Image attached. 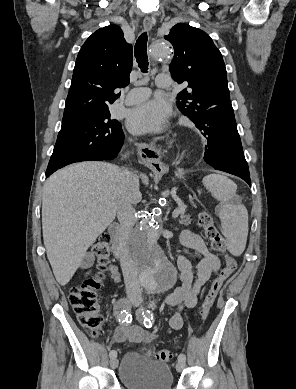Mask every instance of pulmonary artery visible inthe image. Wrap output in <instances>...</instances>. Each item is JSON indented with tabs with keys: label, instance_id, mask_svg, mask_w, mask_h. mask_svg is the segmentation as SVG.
Segmentation results:
<instances>
[{
	"label": "pulmonary artery",
	"instance_id": "1",
	"mask_svg": "<svg viewBox=\"0 0 296 389\" xmlns=\"http://www.w3.org/2000/svg\"><path fill=\"white\" fill-rule=\"evenodd\" d=\"M156 85L160 88H167L171 85V80L168 76L160 74L156 78ZM150 95V89L146 87H137L129 91L126 96L125 103L134 105L146 100Z\"/></svg>",
	"mask_w": 296,
	"mask_h": 389
}]
</instances>
